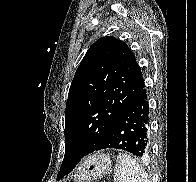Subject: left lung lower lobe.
<instances>
[{"instance_id": "0a47b994", "label": "left lung lower lobe", "mask_w": 196, "mask_h": 182, "mask_svg": "<svg viewBox=\"0 0 196 182\" xmlns=\"http://www.w3.org/2000/svg\"><path fill=\"white\" fill-rule=\"evenodd\" d=\"M149 127V105L144 86L141 92L123 109L105 139L94 151L115 148L130 152L137 157H147L150 154ZM80 148L79 146L71 148L66 153L64 161L78 163L84 157Z\"/></svg>"}]
</instances>
